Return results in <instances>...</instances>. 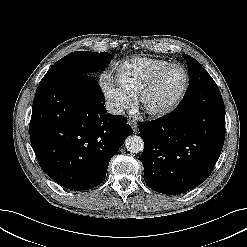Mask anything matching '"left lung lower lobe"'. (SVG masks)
I'll list each match as a JSON object with an SVG mask.
<instances>
[{"instance_id": "left-lung-lower-lobe-1", "label": "left lung lower lobe", "mask_w": 247, "mask_h": 247, "mask_svg": "<svg viewBox=\"0 0 247 247\" xmlns=\"http://www.w3.org/2000/svg\"><path fill=\"white\" fill-rule=\"evenodd\" d=\"M195 100H182L167 116L139 124L144 140V180L163 194H181L211 174L225 138V107L212 78L191 85Z\"/></svg>"}]
</instances>
